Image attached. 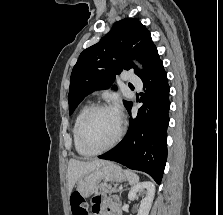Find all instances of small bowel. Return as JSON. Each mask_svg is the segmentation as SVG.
<instances>
[{
	"label": "small bowel",
	"instance_id": "c3829d8e",
	"mask_svg": "<svg viewBox=\"0 0 223 215\" xmlns=\"http://www.w3.org/2000/svg\"><path fill=\"white\" fill-rule=\"evenodd\" d=\"M92 212L94 215H119L117 199L104 194L94 196Z\"/></svg>",
	"mask_w": 223,
	"mask_h": 215
}]
</instances>
